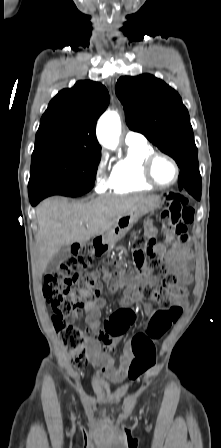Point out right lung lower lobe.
<instances>
[{
    "label": "right lung lower lobe",
    "mask_w": 221,
    "mask_h": 448,
    "mask_svg": "<svg viewBox=\"0 0 221 448\" xmlns=\"http://www.w3.org/2000/svg\"><path fill=\"white\" fill-rule=\"evenodd\" d=\"M29 188V200L32 206L37 205L42 199L51 195H64V196H80V195H68L60 189H56L52 186L39 185Z\"/></svg>",
    "instance_id": "1"
}]
</instances>
